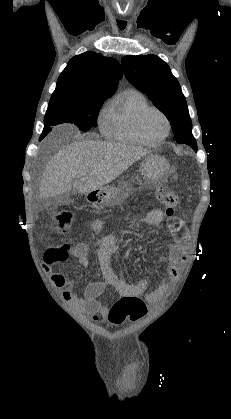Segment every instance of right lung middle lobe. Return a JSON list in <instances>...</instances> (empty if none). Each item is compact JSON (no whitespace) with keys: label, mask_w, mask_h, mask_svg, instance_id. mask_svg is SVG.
Masks as SVG:
<instances>
[{"label":"right lung middle lobe","mask_w":231,"mask_h":419,"mask_svg":"<svg viewBox=\"0 0 231 419\" xmlns=\"http://www.w3.org/2000/svg\"><path fill=\"white\" fill-rule=\"evenodd\" d=\"M106 98H77L67 93H53L44 118L42 140L52 127L61 123H74L82 131L97 126L99 110Z\"/></svg>","instance_id":"dd1d6c3e"}]
</instances>
